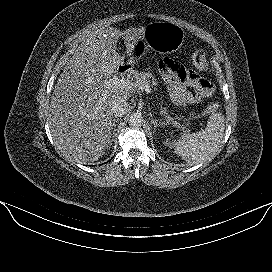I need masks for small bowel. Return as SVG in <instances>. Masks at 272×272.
<instances>
[{
  "mask_svg": "<svg viewBox=\"0 0 272 272\" xmlns=\"http://www.w3.org/2000/svg\"><path fill=\"white\" fill-rule=\"evenodd\" d=\"M159 68L168 86L170 99L175 105L199 103L210 97L214 91L210 82L171 59L162 60Z\"/></svg>",
  "mask_w": 272,
  "mask_h": 272,
  "instance_id": "small-bowel-1",
  "label": "small bowel"
}]
</instances>
